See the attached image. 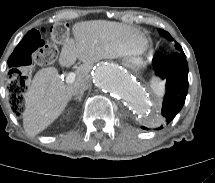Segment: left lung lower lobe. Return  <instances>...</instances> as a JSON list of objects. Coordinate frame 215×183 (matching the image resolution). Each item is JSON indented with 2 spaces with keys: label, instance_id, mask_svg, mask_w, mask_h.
Here are the masks:
<instances>
[{
  "label": "left lung lower lobe",
  "instance_id": "1",
  "mask_svg": "<svg viewBox=\"0 0 215 183\" xmlns=\"http://www.w3.org/2000/svg\"><path fill=\"white\" fill-rule=\"evenodd\" d=\"M156 75L166 80V93L162 105V122H171L182 109L188 90V63L184 52L163 58H154ZM161 125L158 129H161ZM143 129H148L142 127Z\"/></svg>",
  "mask_w": 215,
  "mask_h": 183
}]
</instances>
